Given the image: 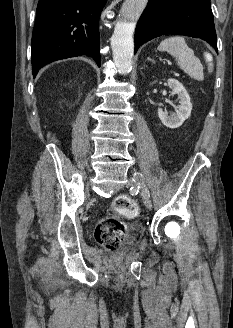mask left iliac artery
I'll return each instance as SVG.
<instances>
[{"label": "left iliac artery", "instance_id": "1", "mask_svg": "<svg viewBox=\"0 0 233 328\" xmlns=\"http://www.w3.org/2000/svg\"><path fill=\"white\" fill-rule=\"evenodd\" d=\"M144 192H145L148 196H150V194H149V190H148L147 188H145V186H144Z\"/></svg>", "mask_w": 233, "mask_h": 328}]
</instances>
